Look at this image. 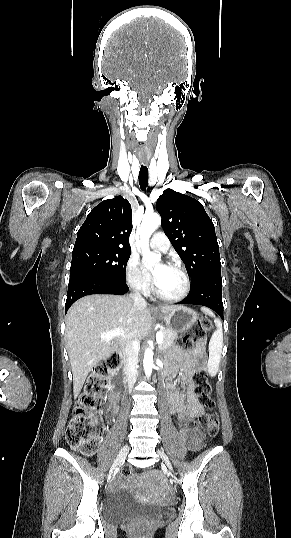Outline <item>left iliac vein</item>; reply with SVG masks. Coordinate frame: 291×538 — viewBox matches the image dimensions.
Here are the masks:
<instances>
[{"label":"left iliac vein","instance_id":"obj_1","mask_svg":"<svg viewBox=\"0 0 291 538\" xmlns=\"http://www.w3.org/2000/svg\"><path fill=\"white\" fill-rule=\"evenodd\" d=\"M158 453L161 457V459L164 461V463L167 465V467L169 468L170 471H172V465L167 457V455L164 453V451L162 449H159L158 450Z\"/></svg>","mask_w":291,"mask_h":538}]
</instances>
